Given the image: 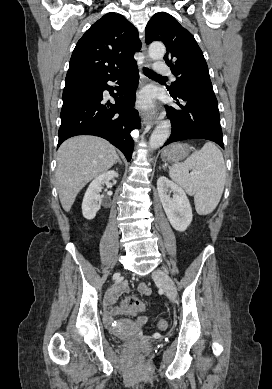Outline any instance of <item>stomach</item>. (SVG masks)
Here are the masks:
<instances>
[{
	"label": "stomach",
	"mask_w": 272,
	"mask_h": 389,
	"mask_svg": "<svg viewBox=\"0 0 272 389\" xmlns=\"http://www.w3.org/2000/svg\"><path fill=\"white\" fill-rule=\"evenodd\" d=\"M191 147L183 143H175L166 147L162 152V159L165 161L177 162L188 156Z\"/></svg>",
	"instance_id": "1"
}]
</instances>
